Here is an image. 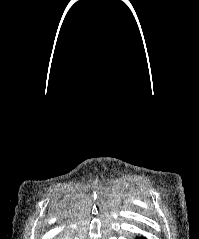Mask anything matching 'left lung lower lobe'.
<instances>
[{
  "label": "left lung lower lobe",
  "mask_w": 199,
  "mask_h": 239,
  "mask_svg": "<svg viewBox=\"0 0 199 239\" xmlns=\"http://www.w3.org/2000/svg\"><path fill=\"white\" fill-rule=\"evenodd\" d=\"M136 239H146L145 237H141V238H136Z\"/></svg>",
  "instance_id": "1"
}]
</instances>
